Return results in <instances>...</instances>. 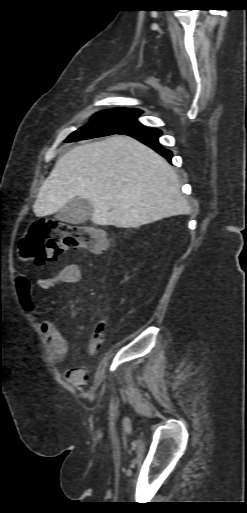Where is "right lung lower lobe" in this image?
I'll return each mask as SVG.
<instances>
[{"instance_id":"98d812e1","label":"right lung lower lobe","mask_w":247,"mask_h":513,"mask_svg":"<svg viewBox=\"0 0 247 513\" xmlns=\"http://www.w3.org/2000/svg\"><path fill=\"white\" fill-rule=\"evenodd\" d=\"M117 134H124L134 137L135 139L154 149L160 155L165 157L169 162H171L172 153L163 148L158 143V138L162 134V132L159 129L147 128L141 124H138L136 126L126 128Z\"/></svg>"}]
</instances>
